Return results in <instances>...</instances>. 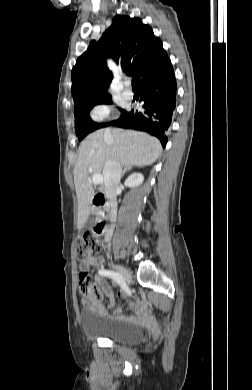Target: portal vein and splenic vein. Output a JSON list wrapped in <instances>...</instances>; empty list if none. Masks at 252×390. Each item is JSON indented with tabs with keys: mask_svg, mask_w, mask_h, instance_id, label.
Wrapping results in <instances>:
<instances>
[{
	"mask_svg": "<svg viewBox=\"0 0 252 390\" xmlns=\"http://www.w3.org/2000/svg\"><path fill=\"white\" fill-rule=\"evenodd\" d=\"M89 171L92 172V168H89ZM92 182L96 185H100L103 183V177L101 174H95L93 177H92Z\"/></svg>",
	"mask_w": 252,
	"mask_h": 390,
	"instance_id": "obj_1",
	"label": "portal vein and splenic vein"
}]
</instances>
